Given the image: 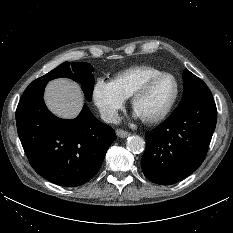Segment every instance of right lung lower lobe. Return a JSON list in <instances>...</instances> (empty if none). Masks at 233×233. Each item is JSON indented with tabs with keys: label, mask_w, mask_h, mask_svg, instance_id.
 I'll use <instances>...</instances> for the list:
<instances>
[{
	"label": "right lung lower lobe",
	"mask_w": 233,
	"mask_h": 233,
	"mask_svg": "<svg viewBox=\"0 0 233 233\" xmlns=\"http://www.w3.org/2000/svg\"><path fill=\"white\" fill-rule=\"evenodd\" d=\"M46 81H33L16 110L19 138L34 170L66 187L83 185L100 169L115 131L84 105L73 120L54 116L43 101Z\"/></svg>",
	"instance_id": "obj_1"
}]
</instances>
